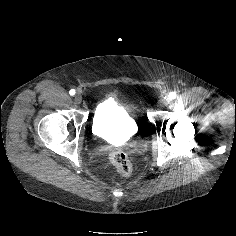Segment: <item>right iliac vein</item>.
I'll use <instances>...</instances> for the list:
<instances>
[{
	"instance_id": "63e3f726",
	"label": "right iliac vein",
	"mask_w": 236,
	"mask_h": 236,
	"mask_svg": "<svg viewBox=\"0 0 236 236\" xmlns=\"http://www.w3.org/2000/svg\"><path fill=\"white\" fill-rule=\"evenodd\" d=\"M74 101L76 104H80L82 102V96L80 94H76L74 97Z\"/></svg>"
}]
</instances>
